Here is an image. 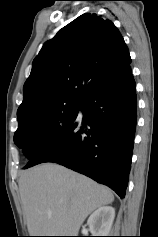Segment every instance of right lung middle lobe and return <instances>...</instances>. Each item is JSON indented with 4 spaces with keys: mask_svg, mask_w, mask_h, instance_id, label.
<instances>
[{
    "mask_svg": "<svg viewBox=\"0 0 158 237\" xmlns=\"http://www.w3.org/2000/svg\"><path fill=\"white\" fill-rule=\"evenodd\" d=\"M81 100L59 98L18 116L14 142L30 159L37 148L78 111Z\"/></svg>",
    "mask_w": 158,
    "mask_h": 237,
    "instance_id": "right-lung-middle-lobe-1",
    "label": "right lung middle lobe"
}]
</instances>
